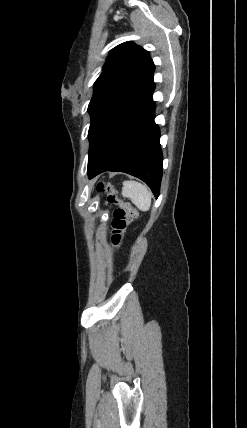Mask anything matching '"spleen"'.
<instances>
[{
  "label": "spleen",
  "instance_id": "1",
  "mask_svg": "<svg viewBox=\"0 0 247 428\" xmlns=\"http://www.w3.org/2000/svg\"><path fill=\"white\" fill-rule=\"evenodd\" d=\"M122 195L131 199L139 210L148 211L150 209L152 193L147 186L136 181H125Z\"/></svg>",
  "mask_w": 247,
  "mask_h": 428
}]
</instances>
